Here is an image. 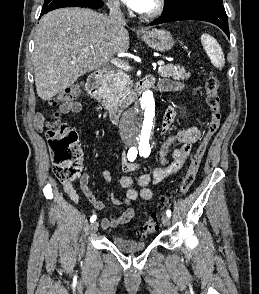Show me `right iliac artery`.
I'll use <instances>...</instances> for the list:
<instances>
[{
	"label": "right iliac artery",
	"mask_w": 259,
	"mask_h": 294,
	"mask_svg": "<svg viewBox=\"0 0 259 294\" xmlns=\"http://www.w3.org/2000/svg\"><path fill=\"white\" fill-rule=\"evenodd\" d=\"M138 151L136 147H131L128 151L127 157L129 161H134L137 157ZM97 216L96 215H92V217L90 218V222H94L96 220Z\"/></svg>",
	"instance_id": "82829eb1"
}]
</instances>
